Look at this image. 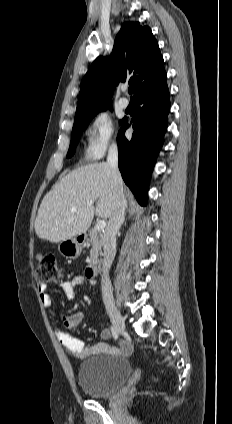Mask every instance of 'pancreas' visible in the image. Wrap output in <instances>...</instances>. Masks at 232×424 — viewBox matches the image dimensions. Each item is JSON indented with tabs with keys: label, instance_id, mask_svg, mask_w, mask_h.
<instances>
[{
	"label": "pancreas",
	"instance_id": "obj_1",
	"mask_svg": "<svg viewBox=\"0 0 232 424\" xmlns=\"http://www.w3.org/2000/svg\"><path fill=\"white\" fill-rule=\"evenodd\" d=\"M89 236L92 243V249L90 250V261H94L97 258L103 244L102 234L96 228H93L90 230Z\"/></svg>",
	"mask_w": 232,
	"mask_h": 424
}]
</instances>
